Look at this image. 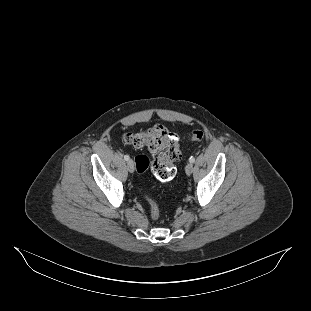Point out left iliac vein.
Here are the masks:
<instances>
[{
  "mask_svg": "<svg viewBox=\"0 0 311 311\" xmlns=\"http://www.w3.org/2000/svg\"><path fill=\"white\" fill-rule=\"evenodd\" d=\"M193 164L192 163H188L185 167V172L187 175H190L193 172Z\"/></svg>",
  "mask_w": 311,
  "mask_h": 311,
  "instance_id": "obj_1",
  "label": "left iliac vein"
}]
</instances>
